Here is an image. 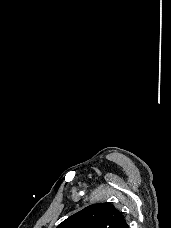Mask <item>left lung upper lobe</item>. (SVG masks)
<instances>
[{
	"label": "left lung upper lobe",
	"mask_w": 171,
	"mask_h": 228,
	"mask_svg": "<svg viewBox=\"0 0 171 228\" xmlns=\"http://www.w3.org/2000/svg\"><path fill=\"white\" fill-rule=\"evenodd\" d=\"M126 220L111 203L92 204L64 220L57 228H122Z\"/></svg>",
	"instance_id": "5c2ea615"
}]
</instances>
